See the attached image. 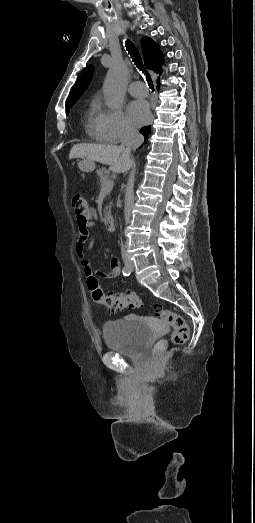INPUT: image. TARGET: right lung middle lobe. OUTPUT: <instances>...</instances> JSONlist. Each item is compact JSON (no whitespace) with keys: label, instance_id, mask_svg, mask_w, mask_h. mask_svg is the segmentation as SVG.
Wrapping results in <instances>:
<instances>
[{"label":"right lung middle lobe","instance_id":"obj_1","mask_svg":"<svg viewBox=\"0 0 255 523\" xmlns=\"http://www.w3.org/2000/svg\"><path fill=\"white\" fill-rule=\"evenodd\" d=\"M75 101L67 102L66 113H69V109L74 105Z\"/></svg>","mask_w":255,"mask_h":523}]
</instances>
